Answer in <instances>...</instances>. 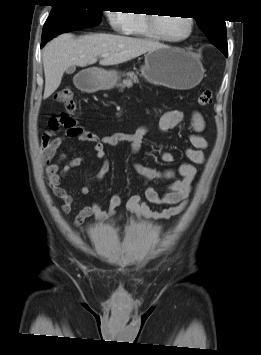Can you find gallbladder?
Here are the masks:
<instances>
[{"instance_id": "obj_1", "label": "gallbladder", "mask_w": 261, "mask_h": 355, "mask_svg": "<svg viewBox=\"0 0 261 355\" xmlns=\"http://www.w3.org/2000/svg\"><path fill=\"white\" fill-rule=\"evenodd\" d=\"M76 67L75 66H70L67 68L66 73L71 74L75 71Z\"/></svg>"}]
</instances>
